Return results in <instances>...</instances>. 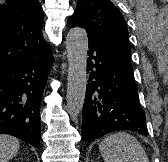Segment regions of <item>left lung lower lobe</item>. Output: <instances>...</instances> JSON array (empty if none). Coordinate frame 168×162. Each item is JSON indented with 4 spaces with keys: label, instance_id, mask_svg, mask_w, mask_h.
<instances>
[{
    "label": "left lung lower lobe",
    "instance_id": "obj_1",
    "mask_svg": "<svg viewBox=\"0 0 168 162\" xmlns=\"http://www.w3.org/2000/svg\"><path fill=\"white\" fill-rule=\"evenodd\" d=\"M89 38V37H88ZM82 136L90 142L120 130L148 135L133 68L125 55L89 38Z\"/></svg>",
    "mask_w": 168,
    "mask_h": 162
}]
</instances>
